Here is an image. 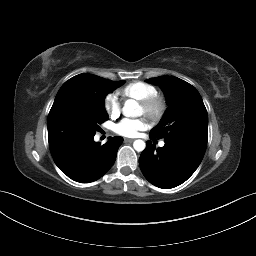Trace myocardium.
Listing matches in <instances>:
<instances>
[{
  "label": "myocardium",
  "mask_w": 256,
  "mask_h": 256,
  "mask_svg": "<svg viewBox=\"0 0 256 256\" xmlns=\"http://www.w3.org/2000/svg\"><path fill=\"white\" fill-rule=\"evenodd\" d=\"M139 102L144 110V114L152 121H159L167 109L166 100L159 94H155Z\"/></svg>",
  "instance_id": "f54148a6"
}]
</instances>
